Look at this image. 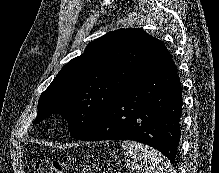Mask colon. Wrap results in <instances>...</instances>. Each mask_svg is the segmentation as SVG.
Masks as SVG:
<instances>
[{
	"mask_svg": "<svg viewBox=\"0 0 219 173\" xmlns=\"http://www.w3.org/2000/svg\"><path fill=\"white\" fill-rule=\"evenodd\" d=\"M69 167L57 159H40L36 161L34 173H65ZM81 173H92L90 170H84Z\"/></svg>",
	"mask_w": 219,
	"mask_h": 173,
	"instance_id": "colon-1",
	"label": "colon"
}]
</instances>
